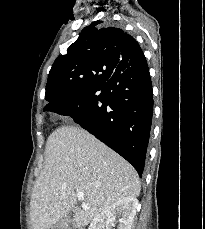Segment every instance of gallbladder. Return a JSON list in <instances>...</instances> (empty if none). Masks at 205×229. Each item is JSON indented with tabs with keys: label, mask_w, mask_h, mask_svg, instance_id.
<instances>
[{
	"label": "gallbladder",
	"mask_w": 205,
	"mask_h": 229,
	"mask_svg": "<svg viewBox=\"0 0 205 229\" xmlns=\"http://www.w3.org/2000/svg\"><path fill=\"white\" fill-rule=\"evenodd\" d=\"M74 212H69L66 219L59 220L56 224L52 225L48 229H73L72 220L74 218ZM63 227V228H62Z\"/></svg>",
	"instance_id": "bac80fb5"
}]
</instances>
